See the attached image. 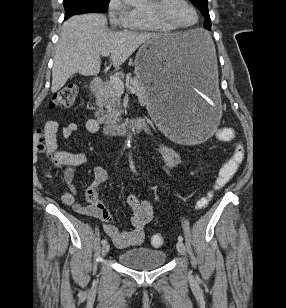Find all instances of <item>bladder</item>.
Segmentation results:
<instances>
[{
	"instance_id": "31cf9c89",
	"label": "bladder",
	"mask_w": 286,
	"mask_h": 308,
	"mask_svg": "<svg viewBox=\"0 0 286 308\" xmlns=\"http://www.w3.org/2000/svg\"><path fill=\"white\" fill-rule=\"evenodd\" d=\"M167 255L163 250L139 246L126 249L119 253V262L130 269L147 271L161 267Z\"/></svg>"
}]
</instances>
